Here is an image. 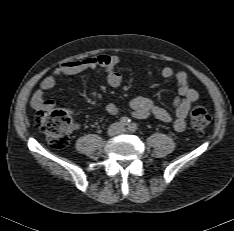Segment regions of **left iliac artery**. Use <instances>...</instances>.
I'll list each match as a JSON object with an SVG mask.
<instances>
[{
  "label": "left iliac artery",
  "mask_w": 234,
  "mask_h": 231,
  "mask_svg": "<svg viewBox=\"0 0 234 231\" xmlns=\"http://www.w3.org/2000/svg\"><path fill=\"white\" fill-rule=\"evenodd\" d=\"M128 130L130 132H135L137 130V125L135 123H132L128 126Z\"/></svg>",
  "instance_id": "obj_1"
}]
</instances>
